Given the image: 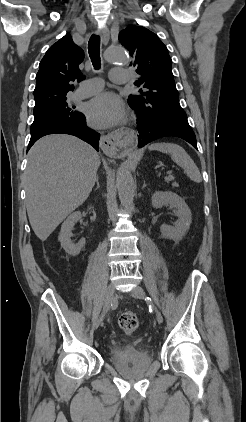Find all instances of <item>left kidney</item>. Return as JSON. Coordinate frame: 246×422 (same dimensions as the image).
Segmentation results:
<instances>
[{
	"mask_svg": "<svg viewBox=\"0 0 246 422\" xmlns=\"http://www.w3.org/2000/svg\"><path fill=\"white\" fill-rule=\"evenodd\" d=\"M151 201L154 208L166 205L176 209L177 221L174 226L161 225L162 236L170 240H179L185 236L192 222V214L185 201L171 191H156L152 195Z\"/></svg>",
	"mask_w": 246,
	"mask_h": 422,
	"instance_id": "obj_1",
	"label": "left kidney"
}]
</instances>
